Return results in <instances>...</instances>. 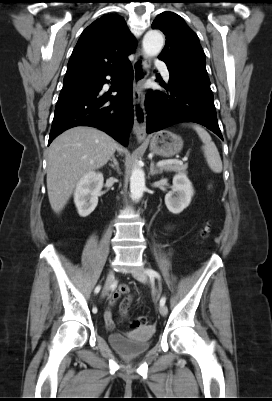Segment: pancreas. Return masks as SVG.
Instances as JSON below:
<instances>
[{
  "instance_id": "cf45deb5",
  "label": "pancreas",
  "mask_w": 272,
  "mask_h": 401,
  "mask_svg": "<svg viewBox=\"0 0 272 401\" xmlns=\"http://www.w3.org/2000/svg\"><path fill=\"white\" fill-rule=\"evenodd\" d=\"M188 168V164H183V163H175V164H168L165 166L161 167L162 171H167V172H178V173H186V170Z\"/></svg>"
}]
</instances>
